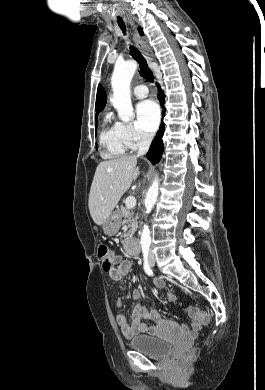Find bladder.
<instances>
[{
    "label": "bladder",
    "instance_id": "bladder-1",
    "mask_svg": "<svg viewBox=\"0 0 265 390\" xmlns=\"http://www.w3.org/2000/svg\"><path fill=\"white\" fill-rule=\"evenodd\" d=\"M129 346L149 357L161 358L172 351V344L160 337L138 335L129 340Z\"/></svg>",
    "mask_w": 265,
    "mask_h": 390
}]
</instances>
